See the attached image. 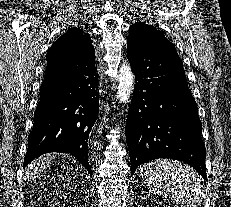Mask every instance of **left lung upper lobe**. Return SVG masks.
Masks as SVG:
<instances>
[{
	"mask_svg": "<svg viewBox=\"0 0 231 207\" xmlns=\"http://www.w3.org/2000/svg\"><path fill=\"white\" fill-rule=\"evenodd\" d=\"M127 46L161 51L175 50L174 44L165 38L162 31L140 21L131 25Z\"/></svg>",
	"mask_w": 231,
	"mask_h": 207,
	"instance_id": "1",
	"label": "left lung upper lobe"
}]
</instances>
